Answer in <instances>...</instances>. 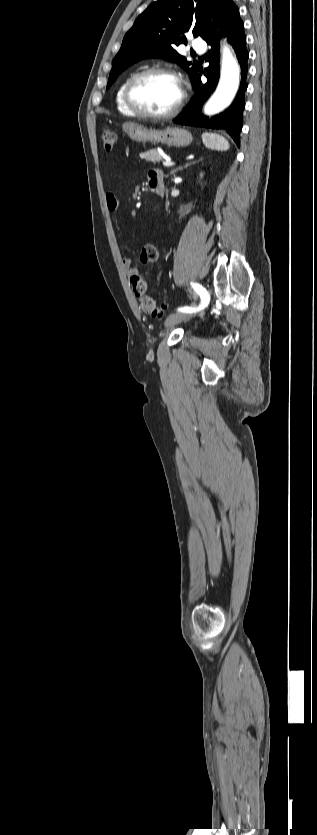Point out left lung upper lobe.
Returning <instances> with one entry per match:
<instances>
[{
    "label": "left lung upper lobe",
    "mask_w": 317,
    "mask_h": 835,
    "mask_svg": "<svg viewBox=\"0 0 317 835\" xmlns=\"http://www.w3.org/2000/svg\"><path fill=\"white\" fill-rule=\"evenodd\" d=\"M229 0H159L136 19L124 36L121 49L112 62L107 88L131 64L149 57L177 62L192 78L199 64L190 62L174 49L187 44L186 32L209 40L227 19L224 9ZM213 17V22L209 21Z\"/></svg>",
    "instance_id": "5c2ea615"
}]
</instances>
